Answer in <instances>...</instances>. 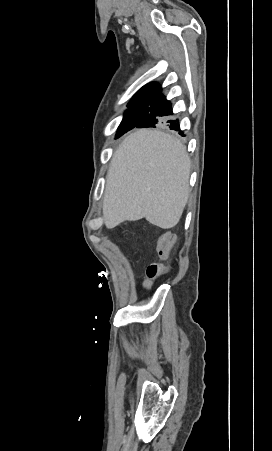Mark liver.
<instances>
[{
	"mask_svg": "<svg viewBox=\"0 0 272 451\" xmlns=\"http://www.w3.org/2000/svg\"><path fill=\"white\" fill-rule=\"evenodd\" d=\"M191 160L178 138L137 130L118 146L107 172L106 227L146 218L154 226L178 224L189 198Z\"/></svg>",
	"mask_w": 272,
	"mask_h": 451,
	"instance_id": "obj_1",
	"label": "liver"
}]
</instances>
